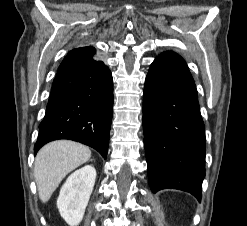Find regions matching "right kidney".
<instances>
[{
	"label": "right kidney",
	"mask_w": 247,
	"mask_h": 226,
	"mask_svg": "<svg viewBox=\"0 0 247 226\" xmlns=\"http://www.w3.org/2000/svg\"><path fill=\"white\" fill-rule=\"evenodd\" d=\"M96 180V170L86 165L72 173L62 186L57 207L62 218L76 226L83 219Z\"/></svg>",
	"instance_id": "1"
}]
</instances>
